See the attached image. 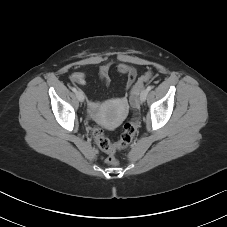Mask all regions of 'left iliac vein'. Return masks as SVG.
<instances>
[{
	"mask_svg": "<svg viewBox=\"0 0 227 227\" xmlns=\"http://www.w3.org/2000/svg\"><path fill=\"white\" fill-rule=\"evenodd\" d=\"M147 95H148L147 89H144V90L141 91L140 97H139L141 103L146 100Z\"/></svg>",
	"mask_w": 227,
	"mask_h": 227,
	"instance_id": "4c4485c4",
	"label": "left iliac vein"
}]
</instances>
